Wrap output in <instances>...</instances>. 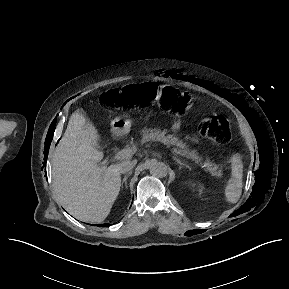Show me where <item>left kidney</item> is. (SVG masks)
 <instances>
[{"label": "left kidney", "mask_w": 289, "mask_h": 289, "mask_svg": "<svg viewBox=\"0 0 289 289\" xmlns=\"http://www.w3.org/2000/svg\"><path fill=\"white\" fill-rule=\"evenodd\" d=\"M192 186H194L195 184H191ZM203 190H204V187L201 185V184H199V186H198V191H199V195L201 196V194L203 193Z\"/></svg>", "instance_id": "1"}]
</instances>
